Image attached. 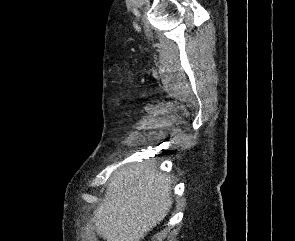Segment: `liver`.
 I'll use <instances>...</instances> for the list:
<instances>
[{
  "label": "liver",
  "instance_id": "6515ba94",
  "mask_svg": "<svg viewBox=\"0 0 295 241\" xmlns=\"http://www.w3.org/2000/svg\"><path fill=\"white\" fill-rule=\"evenodd\" d=\"M171 180L154 162L128 164L113 173L93 222L106 241H141L172 207Z\"/></svg>",
  "mask_w": 295,
  "mask_h": 241
}]
</instances>
